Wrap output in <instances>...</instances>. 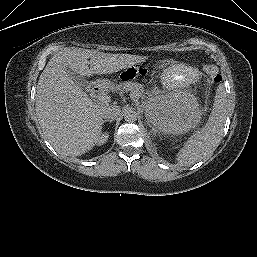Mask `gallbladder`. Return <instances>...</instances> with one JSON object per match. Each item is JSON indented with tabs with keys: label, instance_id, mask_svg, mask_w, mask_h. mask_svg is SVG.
Masks as SVG:
<instances>
[{
	"label": "gallbladder",
	"instance_id": "obj_1",
	"mask_svg": "<svg viewBox=\"0 0 257 257\" xmlns=\"http://www.w3.org/2000/svg\"><path fill=\"white\" fill-rule=\"evenodd\" d=\"M67 73L68 75L71 77V79L77 84L79 85L83 90L87 89V86L89 84V82L83 78L82 76L76 74L74 71H72L71 69L67 68Z\"/></svg>",
	"mask_w": 257,
	"mask_h": 257
}]
</instances>
